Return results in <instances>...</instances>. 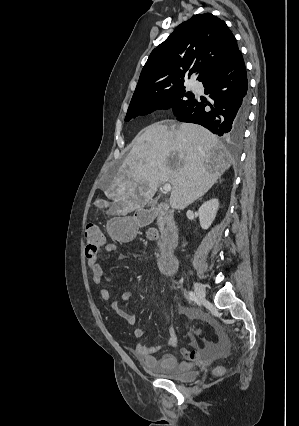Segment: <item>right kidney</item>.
Returning <instances> with one entry per match:
<instances>
[{"instance_id":"1","label":"right kidney","mask_w":299,"mask_h":426,"mask_svg":"<svg viewBox=\"0 0 299 426\" xmlns=\"http://www.w3.org/2000/svg\"><path fill=\"white\" fill-rule=\"evenodd\" d=\"M219 208L218 199L214 198L204 202L199 210V221L203 229L207 230L213 223Z\"/></svg>"}]
</instances>
